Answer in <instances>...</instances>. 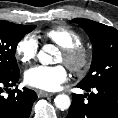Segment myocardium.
I'll return each instance as SVG.
<instances>
[{
  "mask_svg": "<svg viewBox=\"0 0 118 118\" xmlns=\"http://www.w3.org/2000/svg\"><path fill=\"white\" fill-rule=\"evenodd\" d=\"M63 62L74 73L82 74L91 64V52L84 46L77 45L61 48Z\"/></svg>",
  "mask_w": 118,
  "mask_h": 118,
  "instance_id": "myocardium-1",
  "label": "myocardium"
}]
</instances>
